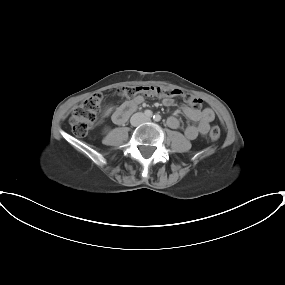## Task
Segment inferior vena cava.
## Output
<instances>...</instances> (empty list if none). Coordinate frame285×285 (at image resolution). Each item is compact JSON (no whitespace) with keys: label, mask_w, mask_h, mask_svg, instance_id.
Here are the masks:
<instances>
[{"label":"inferior vena cava","mask_w":285,"mask_h":285,"mask_svg":"<svg viewBox=\"0 0 285 285\" xmlns=\"http://www.w3.org/2000/svg\"><path fill=\"white\" fill-rule=\"evenodd\" d=\"M135 118H137L138 120H135ZM147 118L142 114V113H137L132 117V125L137 126L139 125L141 122L145 121Z\"/></svg>","instance_id":"602c4592"}]
</instances>
